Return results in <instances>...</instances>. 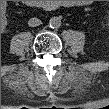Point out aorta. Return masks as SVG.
I'll list each match as a JSON object with an SVG mask.
<instances>
[{
	"instance_id": "obj_1",
	"label": "aorta",
	"mask_w": 109,
	"mask_h": 109,
	"mask_svg": "<svg viewBox=\"0 0 109 109\" xmlns=\"http://www.w3.org/2000/svg\"><path fill=\"white\" fill-rule=\"evenodd\" d=\"M61 25V19L59 17H52L49 21V26L51 28H59Z\"/></svg>"
}]
</instances>
